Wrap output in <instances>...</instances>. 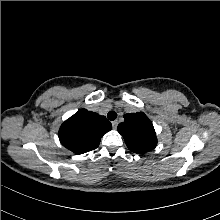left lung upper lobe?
I'll return each mask as SVG.
<instances>
[{
  "label": "left lung upper lobe",
  "mask_w": 220,
  "mask_h": 220,
  "mask_svg": "<svg viewBox=\"0 0 220 220\" xmlns=\"http://www.w3.org/2000/svg\"><path fill=\"white\" fill-rule=\"evenodd\" d=\"M124 119L117 130L132 152L144 154L156 147L157 138L153 124L144 113L126 114Z\"/></svg>",
  "instance_id": "5c2ea615"
}]
</instances>
